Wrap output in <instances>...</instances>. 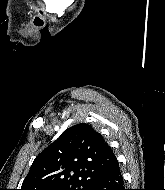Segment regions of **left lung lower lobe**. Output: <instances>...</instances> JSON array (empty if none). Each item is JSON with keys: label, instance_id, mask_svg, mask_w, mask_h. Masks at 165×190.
<instances>
[{"label": "left lung lower lobe", "instance_id": "left-lung-lower-lobe-1", "mask_svg": "<svg viewBox=\"0 0 165 190\" xmlns=\"http://www.w3.org/2000/svg\"><path fill=\"white\" fill-rule=\"evenodd\" d=\"M90 190H125L117 160L99 175Z\"/></svg>", "mask_w": 165, "mask_h": 190}]
</instances>
